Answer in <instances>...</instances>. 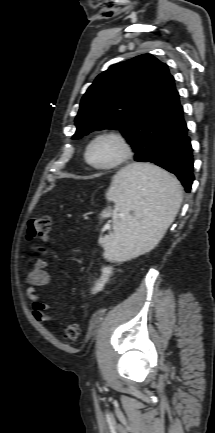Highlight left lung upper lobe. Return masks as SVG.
Segmentation results:
<instances>
[{
  "label": "left lung upper lobe",
  "instance_id": "1",
  "mask_svg": "<svg viewBox=\"0 0 215 433\" xmlns=\"http://www.w3.org/2000/svg\"><path fill=\"white\" fill-rule=\"evenodd\" d=\"M179 100L166 64L150 54L112 65L83 96L72 139L118 129L135 151V161L153 162Z\"/></svg>",
  "mask_w": 215,
  "mask_h": 433
}]
</instances>
